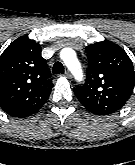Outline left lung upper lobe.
<instances>
[{"label": "left lung upper lobe", "instance_id": "5c2ea615", "mask_svg": "<svg viewBox=\"0 0 135 165\" xmlns=\"http://www.w3.org/2000/svg\"><path fill=\"white\" fill-rule=\"evenodd\" d=\"M88 68L84 85L74 88L83 106L97 115L122 108L135 85L133 64L117 44L105 40L86 47Z\"/></svg>", "mask_w": 135, "mask_h": 165}]
</instances>
